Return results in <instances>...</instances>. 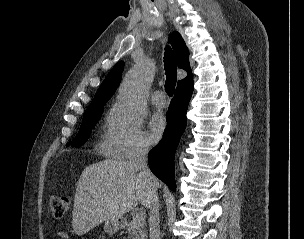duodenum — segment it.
<instances>
[{
    "instance_id": "410a0bca",
    "label": "duodenum",
    "mask_w": 304,
    "mask_h": 239,
    "mask_svg": "<svg viewBox=\"0 0 304 239\" xmlns=\"http://www.w3.org/2000/svg\"><path fill=\"white\" fill-rule=\"evenodd\" d=\"M118 225L123 228L126 226V222L124 220H119Z\"/></svg>"
}]
</instances>
